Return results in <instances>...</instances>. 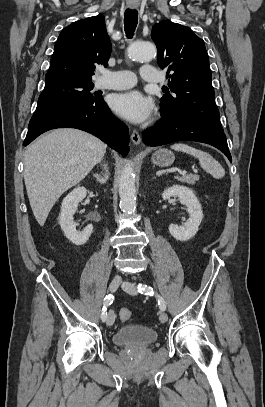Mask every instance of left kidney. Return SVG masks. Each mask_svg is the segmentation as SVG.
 Wrapping results in <instances>:
<instances>
[{
    "label": "left kidney",
    "instance_id": "1",
    "mask_svg": "<svg viewBox=\"0 0 265 407\" xmlns=\"http://www.w3.org/2000/svg\"><path fill=\"white\" fill-rule=\"evenodd\" d=\"M171 197H178L180 202L187 206V211L190 216L186 223L182 226L171 224L169 226V232L176 240H190L196 235L199 225L203 219L201 205L194 192L185 186L174 185L164 190L162 193V198L167 200Z\"/></svg>",
    "mask_w": 265,
    "mask_h": 407
}]
</instances>
